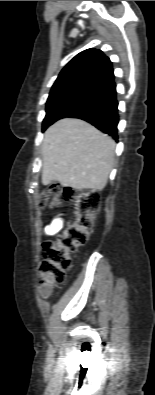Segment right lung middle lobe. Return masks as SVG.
Listing matches in <instances>:
<instances>
[{"label": "right lung middle lobe", "mask_w": 155, "mask_h": 395, "mask_svg": "<svg viewBox=\"0 0 155 395\" xmlns=\"http://www.w3.org/2000/svg\"><path fill=\"white\" fill-rule=\"evenodd\" d=\"M102 90L99 86L86 83H67L52 87L46 103L43 130L89 103Z\"/></svg>", "instance_id": "obj_1"}]
</instances>
